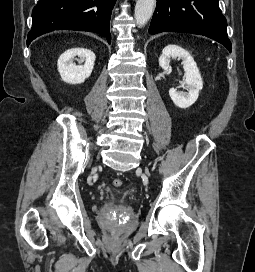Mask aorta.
<instances>
[{"instance_id": "obj_1", "label": "aorta", "mask_w": 255, "mask_h": 272, "mask_svg": "<svg viewBox=\"0 0 255 272\" xmlns=\"http://www.w3.org/2000/svg\"><path fill=\"white\" fill-rule=\"evenodd\" d=\"M156 0H137L135 5V21L140 27L144 26L152 17Z\"/></svg>"}]
</instances>
